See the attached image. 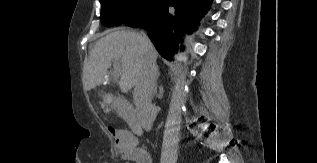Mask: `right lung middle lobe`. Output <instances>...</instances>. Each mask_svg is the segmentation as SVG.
I'll return each mask as SVG.
<instances>
[{"mask_svg":"<svg viewBox=\"0 0 317 163\" xmlns=\"http://www.w3.org/2000/svg\"><path fill=\"white\" fill-rule=\"evenodd\" d=\"M162 0H100V20L107 27L129 24L149 15Z\"/></svg>","mask_w":317,"mask_h":163,"instance_id":"1","label":"right lung middle lobe"}]
</instances>
